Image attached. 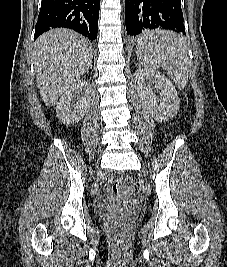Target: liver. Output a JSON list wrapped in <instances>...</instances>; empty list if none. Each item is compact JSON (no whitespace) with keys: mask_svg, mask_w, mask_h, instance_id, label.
Segmentation results:
<instances>
[{"mask_svg":"<svg viewBox=\"0 0 227 267\" xmlns=\"http://www.w3.org/2000/svg\"><path fill=\"white\" fill-rule=\"evenodd\" d=\"M92 44L78 33L51 29L35 42L36 81L44 103L53 106L92 64Z\"/></svg>","mask_w":227,"mask_h":267,"instance_id":"liver-1","label":"liver"}]
</instances>
